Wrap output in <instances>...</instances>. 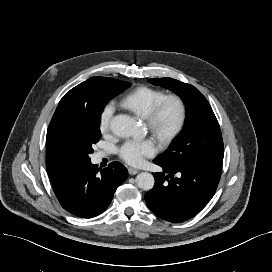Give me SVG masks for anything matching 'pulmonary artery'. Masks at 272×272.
<instances>
[{"label":"pulmonary artery","mask_w":272,"mask_h":272,"mask_svg":"<svg viewBox=\"0 0 272 272\" xmlns=\"http://www.w3.org/2000/svg\"><path fill=\"white\" fill-rule=\"evenodd\" d=\"M103 156H104L103 153H98V154L96 155L97 159H101Z\"/></svg>","instance_id":"e3ab8cb5"}]
</instances>
